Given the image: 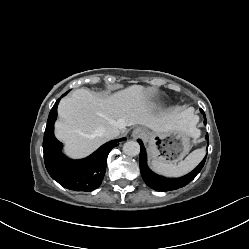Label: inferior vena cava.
<instances>
[{
  "mask_svg": "<svg viewBox=\"0 0 249 249\" xmlns=\"http://www.w3.org/2000/svg\"><path fill=\"white\" fill-rule=\"evenodd\" d=\"M120 134V129L114 126H108L103 130V136L107 139H113Z\"/></svg>",
  "mask_w": 249,
  "mask_h": 249,
  "instance_id": "602c4592",
  "label": "inferior vena cava"
}]
</instances>
